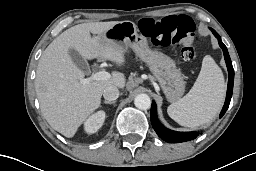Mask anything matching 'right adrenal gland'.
I'll use <instances>...</instances> for the list:
<instances>
[{
	"label": "right adrenal gland",
	"instance_id": "obj_1",
	"mask_svg": "<svg viewBox=\"0 0 256 171\" xmlns=\"http://www.w3.org/2000/svg\"><path fill=\"white\" fill-rule=\"evenodd\" d=\"M104 104H115V101H104Z\"/></svg>",
	"mask_w": 256,
	"mask_h": 171
}]
</instances>
